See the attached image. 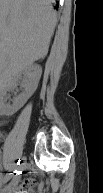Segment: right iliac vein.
I'll use <instances>...</instances> for the list:
<instances>
[{
    "mask_svg": "<svg viewBox=\"0 0 103 193\" xmlns=\"http://www.w3.org/2000/svg\"><path fill=\"white\" fill-rule=\"evenodd\" d=\"M26 168V160L23 158L21 164L18 166L17 174L15 175L14 181H17L18 174H20Z\"/></svg>",
    "mask_w": 103,
    "mask_h": 193,
    "instance_id": "63e3f726",
    "label": "right iliac vein"
}]
</instances>
